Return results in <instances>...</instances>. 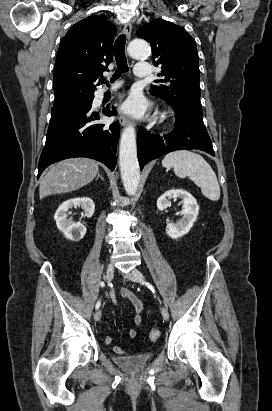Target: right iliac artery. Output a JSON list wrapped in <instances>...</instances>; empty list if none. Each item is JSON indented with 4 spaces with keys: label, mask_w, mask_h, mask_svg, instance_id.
<instances>
[{
    "label": "right iliac artery",
    "mask_w": 272,
    "mask_h": 411,
    "mask_svg": "<svg viewBox=\"0 0 272 411\" xmlns=\"http://www.w3.org/2000/svg\"><path fill=\"white\" fill-rule=\"evenodd\" d=\"M100 285H101V287L105 286L104 282H101ZM100 304H101V302H100V300H98L96 305H95V308L98 309L100 307ZM106 341H107V339H106Z\"/></svg>",
    "instance_id": "right-iliac-artery-1"
}]
</instances>
